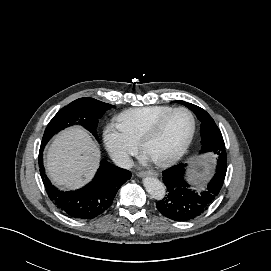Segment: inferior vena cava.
<instances>
[{"label": "inferior vena cava", "instance_id": "obj_1", "mask_svg": "<svg viewBox=\"0 0 271 271\" xmlns=\"http://www.w3.org/2000/svg\"><path fill=\"white\" fill-rule=\"evenodd\" d=\"M111 158L113 162L121 168L130 169L133 167V161L126 153H114L111 155Z\"/></svg>", "mask_w": 271, "mask_h": 271}]
</instances>
